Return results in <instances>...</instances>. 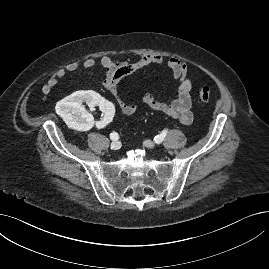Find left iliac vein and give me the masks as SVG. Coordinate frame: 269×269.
<instances>
[{
    "instance_id": "obj_1",
    "label": "left iliac vein",
    "mask_w": 269,
    "mask_h": 269,
    "mask_svg": "<svg viewBox=\"0 0 269 269\" xmlns=\"http://www.w3.org/2000/svg\"><path fill=\"white\" fill-rule=\"evenodd\" d=\"M144 145L147 147V148H154L155 147V144L149 140H146L144 141Z\"/></svg>"
}]
</instances>
